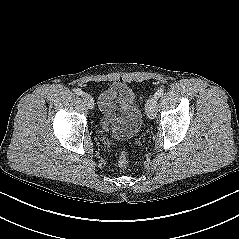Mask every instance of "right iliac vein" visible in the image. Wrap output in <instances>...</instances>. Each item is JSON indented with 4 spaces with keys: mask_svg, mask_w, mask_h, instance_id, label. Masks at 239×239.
I'll use <instances>...</instances> for the list:
<instances>
[{
    "mask_svg": "<svg viewBox=\"0 0 239 239\" xmlns=\"http://www.w3.org/2000/svg\"><path fill=\"white\" fill-rule=\"evenodd\" d=\"M82 98L89 109L94 108V101L88 93H83Z\"/></svg>",
    "mask_w": 239,
    "mask_h": 239,
    "instance_id": "1",
    "label": "right iliac vein"
}]
</instances>
